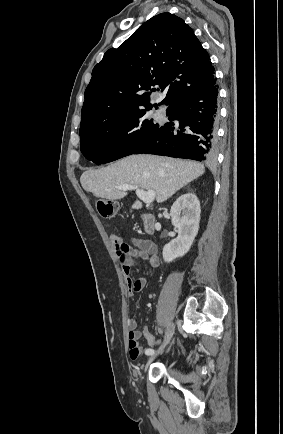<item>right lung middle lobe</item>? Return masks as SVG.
<instances>
[{
	"label": "right lung middle lobe",
	"instance_id": "dd1d6c3e",
	"mask_svg": "<svg viewBox=\"0 0 283 434\" xmlns=\"http://www.w3.org/2000/svg\"><path fill=\"white\" fill-rule=\"evenodd\" d=\"M151 108L127 111L81 129V152L96 164L132 154L162 125L149 116Z\"/></svg>",
	"mask_w": 283,
	"mask_h": 434
}]
</instances>
